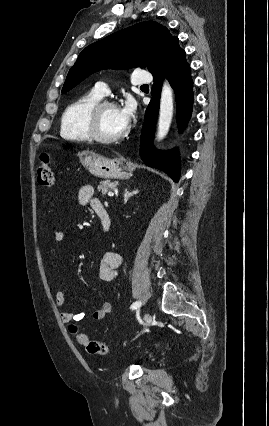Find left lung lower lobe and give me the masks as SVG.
Returning a JSON list of instances; mask_svg holds the SVG:
<instances>
[{
  "mask_svg": "<svg viewBox=\"0 0 269 426\" xmlns=\"http://www.w3.org/2000/svg\"><path fill=\"white\" fill-rule=\"evenodd\" d=\"M149 71L154 76V84L151 91L152 99L145 113L140 155L147 166L163 170L175 182H178L180 176L178 151H156L152 144L163 77L168 78L175 92L177 122L180 130L186 126L191 117L194 101L191 68L185 59V51L179 46L177 37Z\"/></svg>",
  "mask_w": 269,
  "mask_h": 426,
  "instance_id": "0a47b994",
  "label": "left lung lower lobe"
}]
</instances>
